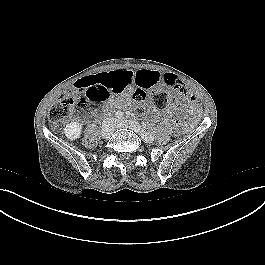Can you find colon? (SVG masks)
Returning <instances> with one entry per match:
<instances>
[{"label": "colon", "instance_id": "colon-1", "mask_svg": "<svg viewBox=\"0 0 265 265\" xmlns=\"http://www.w3.org/2000/svg\"><path fill=\"white\" fill-rule=\"evenodd\" d=\"M166 89H157L151 94L154 107L164 109L168 105L178 107L183 101L186 111L197 113L201 109V100L195 94H189L173 75H165ZM146 89L135 90L133 98L136 102V111L142 113L148 99ZM110 79L106 76H88L75 82L71 92L52 106L49 119L52 123H61L67 120L77 108L78 111H88L96 103L105 101L113 93Z\"/></svg>", "mask_w": 265, "mask_h": 265}]
</instances>
